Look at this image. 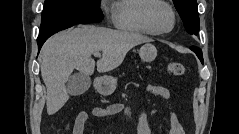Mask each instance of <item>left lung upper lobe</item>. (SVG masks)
Masks as SVG:
<instances>
[{
  "instance_id": "5c2ea615",
  "label": "left lung upper lobe",
  "mask_w": 239,
  "mask_h": 134,
  "mask_svg": "<svg viewBox=\"0 0 239 134\" xmlns=\"http://www.w3.org/2000/svg\"><path fill=\"white\" fill-rule=\"evenodd\" d=\"M173 2L188 33L197 35L200 26L196 0H173ZM200 61L203 62V57Z\"/></svg>"
}]
</instances>
